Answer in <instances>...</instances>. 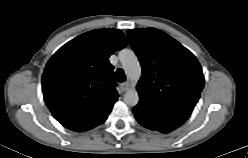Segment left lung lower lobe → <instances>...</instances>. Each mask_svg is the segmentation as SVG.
I'll return each instance as SVG.
<instances>
[{"instance_id":"0a47b994","label":"left lung lower lobe","mask_w":248,"mask_h":158,"mask_svg":"<svg viewBox=\"0 0 248 158\" xmlns=\"http://www.w3.org/2000/svg\"><path fill=\"white\" fill-rule=\"evenodd\" d=\"M136 116V115H135ZM137 121L144 127L151 129V130H156L154 126H152L151 124H149L148 122H146L144 119L136 116Z\"/></svg>"}]
</instances>
